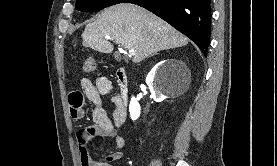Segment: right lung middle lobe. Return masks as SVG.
I'll use <instances>...</instances> for the list:
<instances>
[{
    "label": "right lung middle lobe",
    "instance_id": "obj_1",
    "mask_svg": "<svg viewBox=\"0 0 277 166\" xmlns=\"http://www.w3.org/2000/svg\"><path fill=\"white\" fill-rule=\"evenodd\" d=\"M122 1L123 0H77L76 9L79 11H97L121 3Z\"/></svg>",
    "mask_w": 277,
    "mask_h": 166
}]
</instances>
